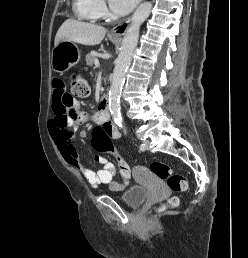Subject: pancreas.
<instances>
[{"mask_svg":"<svg viewBox=\"0 0 248 258\" xmlns=\"http://www.w3.org/2000/svg\"><path fill=\"white\" fill-rule=\"evenodd\" d=\"M95 59H96L95 52L88 53L86 55V64L89 66H92L94 64Z\"/></svg>","mask_w":248,"mask_h":258,"instance_id":"cf45deb5","label":"pancreas"}]
</instances>
